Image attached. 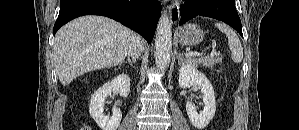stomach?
<instances>
[{
	"instance_id": "0dacf381",
	"label": "stomach",
	"mask_w": 299,
	"mask_h": 130,
	"mask_svg": "<svg viewBox=\"0 0 299 130\" xmlns=\"http://www.w3.org/2000/svg\"><path fill=\"white\" fill-rule=\"evenodd\" d=\"M203 30L196 24H185L176 33L177 40L181 45H198L204 39Z\"/></svg>"
}]
</instances>
